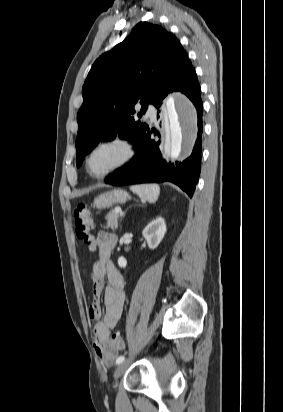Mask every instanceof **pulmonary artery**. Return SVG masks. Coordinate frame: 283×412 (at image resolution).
I'll use <instances>...</instances> for the list:
<instances>
[{"label":"pulmonary artery","instance_id":"e3ab8cb5","mask_svg":"<svg viewBox=\"0 0 283 412\" xmlns=\"http://www.w3.org/2000/svg\"><path fill=\"white\" fill-rule=\"evenodd\" d=\"M146 116L150 119V120H155V111L153 109H149L147 111Z\"/></svg>","mask_w":283,"mask_h":412}]
</instances>
